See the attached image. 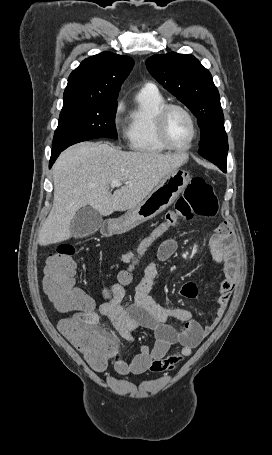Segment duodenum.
I'll list each match as a JSON object with an SVG mask.
<instances>
[{
	"instance_id": "duodenum-1",
	"label": "duodenum",
	"mask_w": 272,
	"mask_h": 455,
	"mask_svg": "<svg viewBox=\"0 0 272 455\" xmlns=\"http://www.w3.org/2000/svg\"><path fill=\"white\" fill-rule=\"evenodd\" d=\"M104 233L105 234H111L112 233V226L111 225H106L104 228Z\"/></svg>"
}]
</instances>
